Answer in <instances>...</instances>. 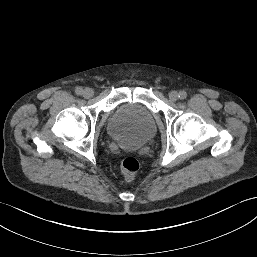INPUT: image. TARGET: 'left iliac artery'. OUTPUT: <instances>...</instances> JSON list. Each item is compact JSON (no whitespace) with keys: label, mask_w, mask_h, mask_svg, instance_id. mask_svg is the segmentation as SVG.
<instances>
[{"label":"left iliac artery","mask_w":257,"mask_h":257,"mask_svg":"<svg viewBox=\"0 0 257 257\" xmlns=\"http://www.w3.org/2000/svg\"><path fill=\"white\" fill-rule=\"evenodd\" d=\"M187 97V93L185 92V91H181L180 93H179V98L180 99H185Z\"/></svg>","instance_id":"left-iliac-artery-1"}]
</instances>
